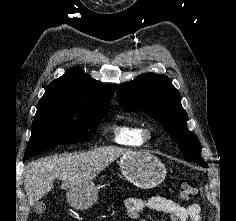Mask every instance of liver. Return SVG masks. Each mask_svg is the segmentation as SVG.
<instances>
[{"label":"liver","mask_w":236,"mask_h":221,"mask_svg":"<svg viewBox=\"0 0 236 221\" xmlns=\"http://www.w3.org/2000/svg\"><path fill=\"white\" fill-rule=\"evenodd\" d=\"M129 151L115 147H98L87 152L64 153L32 162L25 171L24 187L30 205L53 188L55 179L62 189L91 182L103 169Z\"/></svg>","instance_id":"1"}]
</instances>
